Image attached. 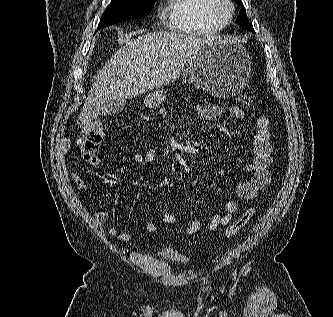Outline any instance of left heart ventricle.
Here are the masks:
<instances>
[{
    "mask_svg": "<svg viewBox=\"0 0 333 317\" xmlns=\"http://www.w3.org/2000/svg\"><path fill=\"white\" fill-rule=\"evenodd\" d=\"M223 11H224V13H226V12H227V9H226V8H224V9H223Z\"/></svg>",
    "mask_w": 333,
    "mask_h": 317,
    "instance_id": "b2bd125f",
    "label": "left heart ventricle"
}]
</instances>
